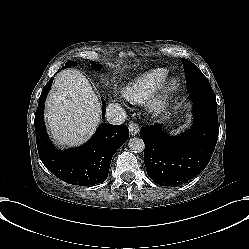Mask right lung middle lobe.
I'll return each mask as SVG.
<instances>
[{"instance_id": "dd1d6c3e", "label": "right lung middle lobe", "mask_w": 249, "mask_h": 249, "mask_svg": "<svg viewBox=\"0 0 249 249\" xmlns=\"http://www.w3.org/2000/svg\"><path fill=\"white\" fill-rule=\"evenodd\" d=\"M76 63H77L76 61H71V62L69 61V62H67V63L65 64V67H63V68H68V67H70V66H72V65L75 66ZM100 66H101L100 64H94V68H95L96 70H99V69H100ZM63 68H62V69H63Z\"/></svg>"}]
</instances>
